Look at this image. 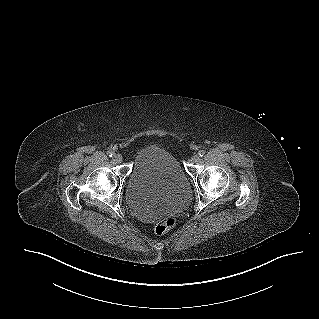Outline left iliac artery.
<instances>
[{
	"mask_svg": "<svg viewBox=\"0 0 319 319\" xmlns=\"http://www.w3.org/2000/svg\"><path fill=\"white\" fill-rule=\"evenodd\" d=\"M198 154H199V156L203 157L205 155V151L204 150H200Z\"/></svg>",
	"mask_w": 319,
	"mask_h": 319,
	"instance_id": "obj_1",
	"label": "left iliac artery"
}]
</instances>
